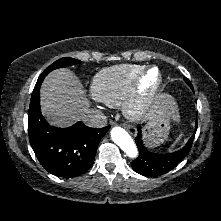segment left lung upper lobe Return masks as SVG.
Segmentation results:
<instances>
[{
	"label": "left lung upper lobe",
	"instance_id": "left-lung-upper-lobe-1",
	"mask_svg": "<svg viewBox=\"0 0 221 221\" xmlns=\"http://www.w3.org/2000/svg\"><path fill=\"white\" fill-rule=\"evenodd\" d=\"M185 81L188 83V85H189L190 87H192L190 81H189L187 78H185Z\"/></svg>",
	"mask_w": 221,
	"mask_h": 221
}]
</instances>
